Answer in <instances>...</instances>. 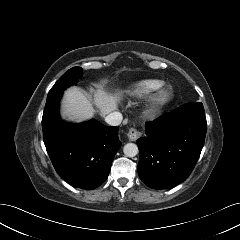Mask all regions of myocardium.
I'll list each match as a JSON object with an SVG mask.
<instances>
[{"instance_id":"obj_1","label":"myocardium","mask_w":240,"mask_h":240,"mask_svg":"<svg viewBox=\"0 0 240 240\" xmlns=\"http://www.w3.org/2000/svg\"><path fill=\"white\" fill-rule=\"evenodd\" d=\"M174 99V92L169 87L157 89L147 102V109L151 113H158L164 110Z\"/></svg>"}]
</instances>
